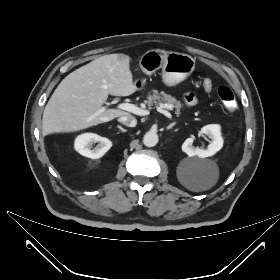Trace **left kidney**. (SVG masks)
I'll use <instances>...</instances> for the list:
<instances>
[{
	"label": "left kidney",
	"instance_id": "left-kidney-1",
	"mask_svg": "<svg viewBox=\"0 0 280 280\" xmlns=\"http://www.w3.org/2000/svg\"><path fill=\"white\" fill-rule=\"evenodd\" d=\"M200 133L207 135L211 139V143L206 149H200L193 145V138H187L182 144V150L189 157L197 156L199 158H206L214 155L222 149L223 138L221 136V130L218 124L206 125L201 128Z\"/></svg>",
	"mask_w": 280,
	"mask_h": 280
}]
</instances>
